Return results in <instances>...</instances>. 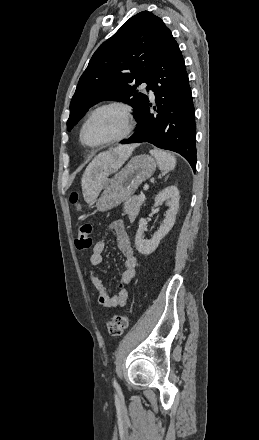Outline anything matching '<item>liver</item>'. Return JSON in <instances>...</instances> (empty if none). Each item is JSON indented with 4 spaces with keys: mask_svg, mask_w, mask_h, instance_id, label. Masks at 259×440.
<instances>
[{
    "mask_svg": "<svg viewBox=\"0 0 259 440\" xmlns=\"http://www.w3.org/2000/svg\"><path fill=\"white\" fill-rule=\"evenodd\" d=\"M137 145H119L98 154L86 168L82 177L83 196L87 203L97 198L106 185L107 177L117 171L131 156Z\"/></svg>",
    "mask_w": 259,
    "mask_h": 440,
    "instance_id": "liver-1",
    "label": "liver"
}]
</instances>
